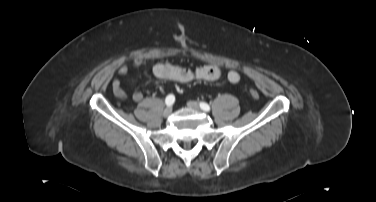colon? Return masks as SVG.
<instances>
[{
  "label": "colon",
  "mask_w": 376,
  "mask_h": 202,
  "mask_svg": "<svg viewBox=\"0 0 376 202\" xmlns=\"http://www.w3.org/2000/svg\"><path fill=\"white\" fill-rule=\"evenodd\" d=\"M249 93H250L251 97L254 98V99H257L259 97V93L254 89L250 90Z\"/></svg>",
  "instance_id": "5ec220e1"
}]
</instances>
